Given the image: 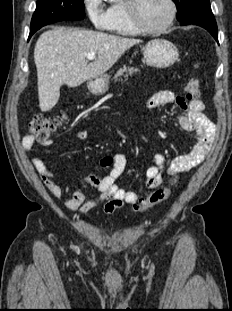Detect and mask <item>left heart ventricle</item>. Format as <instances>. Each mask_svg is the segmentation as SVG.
Segmentation results:
<instances>
[{
  "instance_id": "obj_1",
  "label": "left heart ventricle",
  "mask_w": 232,
  "mask_h": 311,
  "mask_svg": "<svg viewBox=\"0 0 232 311\" xmlns=\"http://www.w3.org/2000/svg\"><path fill=\"white\" fill-rule=\"evenodd\" d=\"M167 0H139L138 15L141 22L151 28L162 25L169 17Z\"/></svg>"
}]
</instances>
